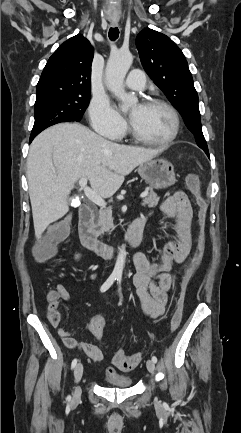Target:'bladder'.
<instances>
[{"instance_id": "1", "label": "bladder", "mask_w": 241, "mask_h": 433, "mask_svg": "<svg viewBox=\"0 0 241 433\" xmlns=\"http://www.w3.org/2000/svg\"><path fill=\"white\" fill-rule=\"evenodd\" d=\"M106 386L110 388H129L132 386V378L119 373H106Z\"/></svg>"}]
</instances>
